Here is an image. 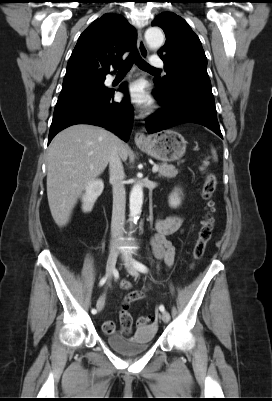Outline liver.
I'll use <instances>...</instances> for the list:
<instances>
[{
	"instance_id": "liver-1",
	"label": "liver",
	"mask_w": 272,
	"mask_h": 401,
	"mask_svg": "<svg viewBox=\"0 0 272 401\" xmlns=\"http://www.w3.org/2000/svg\"><path fill=\"white\" fill-rule=\"evenodd\" d=\"M114 149L127 159L128 145L93 125H73L54 137L47 154V197L58 226L68 223L78 197L105 170Z\"/></svg>"
}]
</instances>
